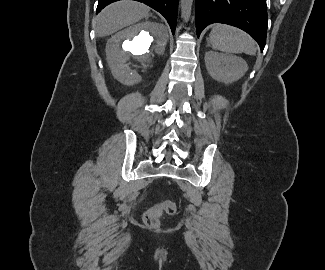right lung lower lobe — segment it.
Returning <instances> with one entry per match:
<instances>
[{
  "instance_id": "obj_1",
  "label": "right lung lower lobe",
  "mask_w": 325,
  "mask_h": 270,
  "mask_svg": "<svg viewBox=\"0 0 325 270\" xmlns=\"http://www.w3.org/2000/svg\"><path fill=\"white\" fill-rule=\"evenodd\" d=\"M118 0H98L97 13L108 4ZM147 4L156 11L160 12L168 21L172 33L174 34L177 21L179 0H136Z\"/></svg>"
}]
</instances>
